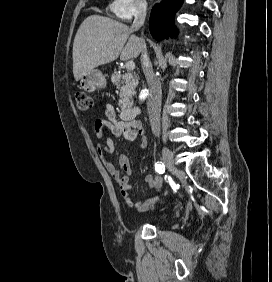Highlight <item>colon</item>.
Segmentation results:
<instances>
[{
    "mask_svg": "<svg viewBox=\"0 0 272 282\" xmlns=\"http://www.w3.org/2000/svg\"><path fill=\"white\" fill-rule=\"evenodd\" d=\"M77 107L80 110L87 111L92 108L93 100L90 95L85 92H78L76 94Z\"/></svg>",
    "mask_w": 272,
    "mask_h": 282,
    "instance_id": "1",
    "label": "colon"
}]
</instances>
